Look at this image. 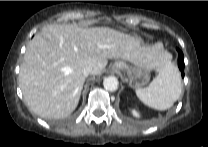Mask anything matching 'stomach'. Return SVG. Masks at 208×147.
<instances>
[{
    "mask_svg": "<svg viewBox=\"0 0 208 147\" xmlns=\"http://www.w3.org/2000/svg\"><path fill=\"white\" fill-rule=\"evenodd\" d=\"M112 70L126 72L129 78V85L135 89L145 86L150 79L149 70L138 64H129L118 60L113 64Z\"/></svg>",
    "mask_w": 208,
    "mask_h": 147,
    "instance_id": "obj_1",
    "label": "stomach"
}]
</instances>
